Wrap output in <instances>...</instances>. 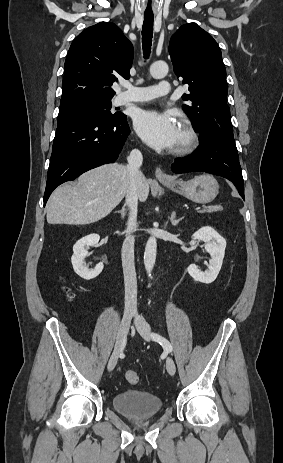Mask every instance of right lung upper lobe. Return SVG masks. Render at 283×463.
Segmentation results:
<instances>
[{"mask_svg":"<svg viewBox=\"0 0 283 463\" xmlns=\"http://www.w3.org/2000/svg\"><path fill=\"white\" fill-rule=\"evenodd\" d=\"M132 43L110 22L81 32L72 42L64 65L60 109L97 98H113L117 76L128 79Z\"/></svg>","mask_w":283,"mask_h":463,"instance_id":"right-lung-upper-lobe-1","label":"right lung upper lobe"}]
</instances>
